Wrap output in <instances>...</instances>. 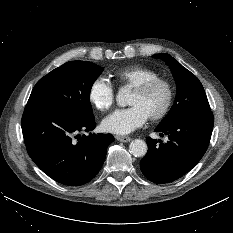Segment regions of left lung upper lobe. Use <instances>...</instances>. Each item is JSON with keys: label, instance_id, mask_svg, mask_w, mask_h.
<instances>
[{"label": "left lung upper lobe", "instance_id": "1", "mask_svg": "<svg viewBox=\"0 0 233 233\" xmlns=\"http://www.w3.org/2000/svg\"><path fill=\"white\" fill-rule=\"evenodd\" d=\"M154 57L169 65L177 87L175 102L159 126L170 125L191 113L211 111L204 88L194 74L169 54H155Z\"/></svg>", "mask_w": 233, "mask_h": 233}]
</instances>
